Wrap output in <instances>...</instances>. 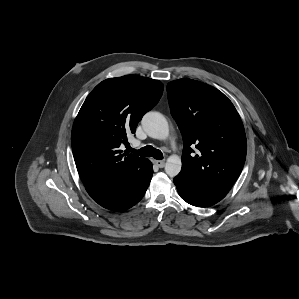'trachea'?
Listing matches in <instances>:
<instances>
[{"label": "trachea", "mask_w": 299, "mask_h": 299, "mask_svg": "<svg viewBox=\"0 0 299 299\" xmlns=\"http://www.w3.org/2000/svg\"><path fill=\"white\" fill-rule=\"evenodd\" d=\"M128 151L144 157H153L154 159H158V160L163 159L162 152L150 145H147L139 150L128 147Z\"/></svg>", "instance_id": "trachea-1"}]
</instances>
